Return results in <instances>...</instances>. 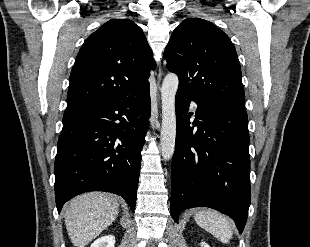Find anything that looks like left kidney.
Masks as SVG:
<instances>
[{"label": "left kidney", "instance_id": "5707ae66", "mask_svg": "<svg viewBox=\"0 0 310 247\" xmlns=\"http://www.w3.org/2000/svg\"><path fill=\"white\" fill-rule=\"evenodd\" d=\"M201 247H210V246L205 242H201Z\"/></svg>", "mask_w": 310, "mask_h": 247}]
</instances>
